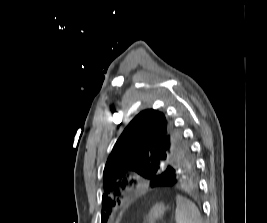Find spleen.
Here are the masks:
<instances>
[{"mask_svg":"<svg viewBox=\"0 0 267 223\" xmlns=\"http://www.w3.org/2000/svg\"><path fill=\"white\" fill-rule=\"evenodd\" d=\"M176 205V223H202L200 212L192 201L178 195Z\"/></svg>","mask_w":267,"mask_h":223,"instance_id":"3e777b00","label":"spleen"}]
</instances>
